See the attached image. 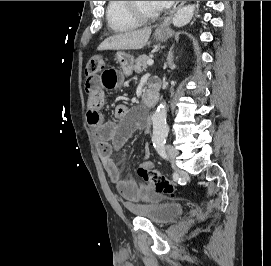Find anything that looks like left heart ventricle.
<instances>
[{
    "mask_svg": "<svg viewBox=\"0 0 271 266\" xmlns=\"http://www.w3.org/2000/svg\"><path fill=\"white\" fill-rule=\"evenodd\" d=\"M138 9H140L145 14H155L157 10L152 5L151 1H136Z\"/></svg>",
    "mask_w": 271,
    "mask_h": 266,
    "instance_id": "b2bd125f",
    "label": "left heart ventricle"
}]
</instances>
